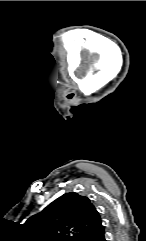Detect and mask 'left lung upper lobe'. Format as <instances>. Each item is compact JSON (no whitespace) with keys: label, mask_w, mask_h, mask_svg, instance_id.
<instances>
[{"label":"left lung upper lobe","mask_w":146,"mask_h":241,"mask_svg":"<svg viewBox=\"0 0 146 241\" xmlns=\"http://www.w3.org/2000/svg\"><path fill=\"white\" fill-rule=\"evenodd\" d=\"M100 224L90 200L74 192L57 198L25 223L36 241H79Z\"/></svg>","instance_id":"5c2ea615"}]
</instances>
